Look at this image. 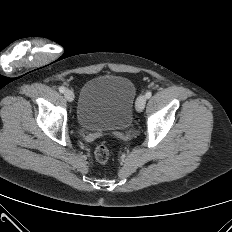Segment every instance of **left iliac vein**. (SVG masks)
<instances>
[{
    "label": "left iliac vein",
    "mask_w": 232,
    "mask_h": 232,
    "mask_svg": "<svg viewBox=\"0 0 232 232\" xmlns=\"http://www.w3.org/2000/svg\"><path fill=\"white\" fill-rule=\"evenodd\" d=\"M146 104V97L144 95H140L138 96L137 100H136V110L138 112H141Z\"/></svg>",
    "instance_id": "left-iliac-vein-1"
}]
</instances>
